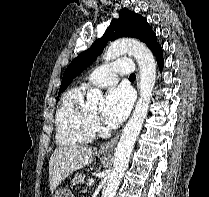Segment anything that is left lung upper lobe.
<instances>
[{
    "mask_svg": "<svg viewBox=\"0 0 209 197\" xmlns=\"http://www.w3.org/2000/svg\"><path fill=\"white\" fill-rule=\"evenodd\" d=\"M121 37L137 38L145 42L151 50L159 45L156 35L147 23L146 18L130 10L122 9L119 13V18L111 21L104 35L97 39L88 50L80 53L68 65L63 74L58 97L78 74L93 63L108 41Z\"/></svg>",
    "mask_w": 209,
    "mask_h": 197,
    "instance_id": "5c2ea615",
    "label": "left lung upper lobe"
}]
</instances>
